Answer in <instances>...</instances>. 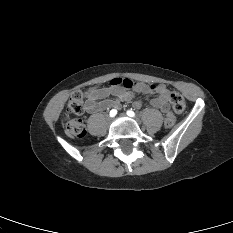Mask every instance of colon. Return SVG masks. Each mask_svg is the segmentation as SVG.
<instances>
[{
	"label": "colon",
	"instance_id": "1",
	"mask_svg": "<svg viewBox=\"0 0 233 233\" xmlns=\"http://www.w3.org/2000/svg\"><path fill=\"white\" fill-rule=\"evenodd\" d=\"M122 84L127 88H134L137 86V83H134L133 81L129 79H123L120 80ZM113 80H111L110 83H112ZM151 90H153V87H150ZM169 106L172 109V111L177 114L181 115L184 113L186 109V102L182 95L179 93H172L170 94L169 98ZM86 106L84 104V101L82 99V96L79 92H75L70 101L68 102L66 113L67 115H81L85 111ZM165 126L171 127L175 123V117L173 113L170 112L165 118ZM66 132L69 136L75 137V138H83L86 136L87 131L85 128V124L81 119H71L66 122Z\"/></svg>",
	"mask_w": 233,
	"mask_h": 233
}]
</instances>
